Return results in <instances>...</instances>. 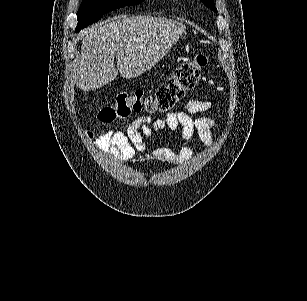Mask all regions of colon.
<instances>
[{
    "mask_svg": "<svg viewBox=\"0 0 307 301\" xmlns=\"http://www.w3.org/2000/svg\"><path fill=\"white\" fill-rule=\"evenodd\" d=\"M207 64L204 54H197L182 63L163 84L158 86L154 94L143 90L133 93L119 92L115 100L104 105L97 114L102 123H110L116 119L130 116L132 113H159L171 110L188 91L192 90L201 78Z\"/></svg>",
    "mask_w": 307,
    "mask_h": 301,
    "instance_id": "colon-1",
    "label": "colon"
}]
</instances>
